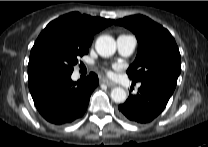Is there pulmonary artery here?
I'll return each instance as SVG.
<instances>
[{
    "mask_svg": "<svg viewBox=\"0 0 208 147\" xmlns=\"http://www.w3.org/2000/svg\"><path fill=\"white\" fill-rule=\"evenodd\" d=\"M117 48L120 55L124 57L130 56L137 45V40L133 35L122 34L117 37Z\"/></svg>",
    "mask_w": 208,
    "mask_h": 147,
    "instance_id": "pulmonary-artery-1",
    "label": "pulmonary artery"
}]
</instances>
